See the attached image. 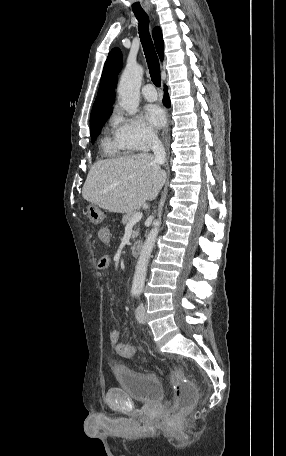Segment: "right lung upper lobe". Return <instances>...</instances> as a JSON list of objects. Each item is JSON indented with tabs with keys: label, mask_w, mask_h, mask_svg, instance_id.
I'll use <instances>...</instances> for the list:
<instances>
[{
	"label": "right lung upper lobe",
	"mask_w": 286,
	"mask_h": 456,
	"mask_svg": "<svg viewBox=\"0 0 286 456\" xmlns=\"http://www.w3.org/2000/svg\"><path fill=\"white\" fill-rule=\"evenodd\" d=\"M153 39L157 53L161 60L164 57V42L159 27L153 30ZM122 67V53L118 48H114L108 54L106 59L96 100L94 102L90 121L112 111L114 103V87L117 81V75Z\"/></svg>",
	"instance_id": "1"
}]
</instances>
